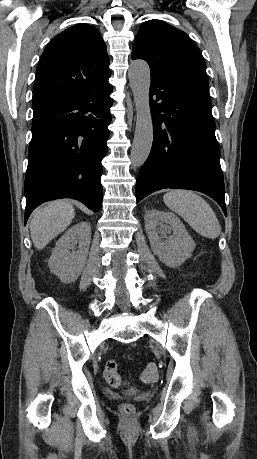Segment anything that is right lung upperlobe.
<instances>
[{
  "label": "right lung upper lobe",
  "instance_id": "right-lung-upper-lobe-1",
  "mask_svg": "<svg viewBox=\"0 0 257 459\" xmlns=\"http://www.w3.org/2000/svg\"><path fill=\"white\" fill-rule=\"evenodd\" d=\"M110 76L109 57L99 31L88 24L72 26L55 36L41 56L33 107L96 89Z\"/></svg>",
  "mask_w": 257,
  "mask_h": 459
}]
</instances>
